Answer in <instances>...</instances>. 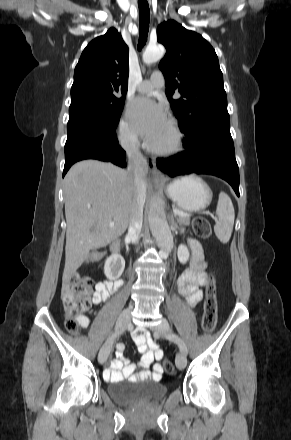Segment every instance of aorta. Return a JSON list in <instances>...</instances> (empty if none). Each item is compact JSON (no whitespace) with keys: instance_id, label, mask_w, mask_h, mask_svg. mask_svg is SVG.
<instances>
[{"instance_id":"obj_1","label":"aorta","mask_w":291,"mask_h":440,"mask_svg":"<svg viewBox=\"0 0 291 440\" xmlns=\"http://www.w3.org/2000/svg\"><path fill=\"white\" fill-rule=\"evenodd\" d=\"M165 53L161 45L148 46L142 55V60L146 64H152L159 61ZM149 227L158 246L166 252L173 248V236L165 218V215L155 207L149 210Z\"/></svg>"}]
</instances>
